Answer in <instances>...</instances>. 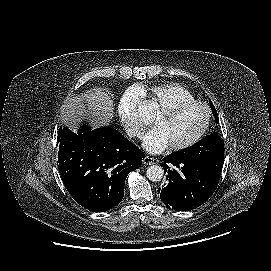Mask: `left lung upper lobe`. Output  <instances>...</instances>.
<instances>
[{
	"label": "left lung upper lobe",
	"mask_w": 271,
	"mask_h": 271,
	"mask_svg": "<svg viewBox=\"0 0 271 271\" xmlns=\"http://www.w3.org/2000/svg\"><path fill=\"white\" fill-rule=\"evenodd\" d=\"M213 115L218 123V114L211 101H209ZM176 156L199 162L214 172L221 174L224 161V141L217 133L196 143L194 146L174 153Z\"/></svg>",
	"instance_id": "1"
}]
</instances>
